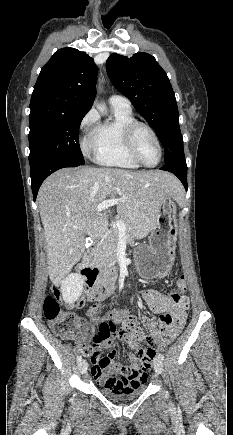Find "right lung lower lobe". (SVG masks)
<instances>
[{
    "instance_id": "obj_1",
    "label": "right lung lower lobe",
    "mask_w": 233,
    "mask_h": 435,
    "mask_svg": "<svg viewBox=\"0 0 233 435\" xmlns=\"http://www.w3.org/2000/svg\"><path fill=\"white\" fill-rule=\"evenodd\" d=\"M77 166L80 165L60 158H47L31 164L30 168L34 201L42 182L50 174L61 168Z\"/></svg>"
}]
</instances>
